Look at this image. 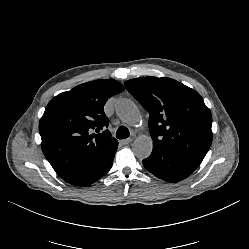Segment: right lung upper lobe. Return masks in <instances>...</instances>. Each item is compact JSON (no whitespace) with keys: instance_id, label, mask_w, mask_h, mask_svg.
Instances as JSON below:
<instances>
[{"instance_id":"right-lung-upper-lobe-1","label":"right lung upper lobe","mask_w":249,"mask_h":249,"mask_svg":"<svg viewBox=\"0 0 249 249\" xmlns=\"http://www.w3.org/2000/svg\"><path fill=\"white\" fill-rule=\"evenodd\" d=\"M124 91L113 79L95 80L54 97L39 122L42 151L61 177L87 166L118 141L106 130L107 100ZM94 130L98 134H91Z\"/></svg>"}]
</instances>
